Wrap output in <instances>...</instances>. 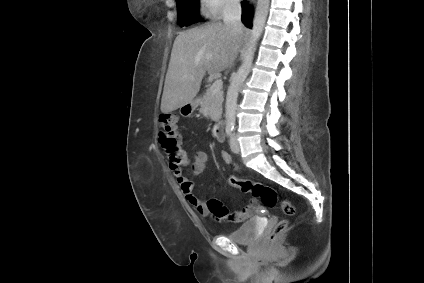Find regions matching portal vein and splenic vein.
Here are the masks:
<instances>
[{"label": "portal vein and splenic vein", "instance_id": "portal-vein-and-splenic-vein-1", "mask_svg": "<svg viewBox=\"0 0 424 283\" xmlns=\"http://www.w3.org/2000/svg\"><path fill=\"white\" fill-rule=\"evenodd\" d=\"M222 87H223L222 80L219 79V78H216L209 89L213 94H215V93L220 92L222 90Z\"/></svg>", "mask_w": 424, "mask_h": 283}]
</instances>
